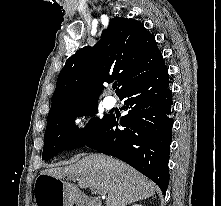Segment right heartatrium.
<instances>
[{"label": "right heart atrium", "instance_id": "d8ad5b80", "mask_svg": "<svg viewBox=\"0 0 221 206\" xmlns=\"http://www.w3.org/2000/svg\"><path fill=\"white\" fill-rule=\"evenodd\" d=\"M88 116L84 111H77L73 118V124L77 131L82 132L86 129Z\"/></svg>", "mask_w": 221, "mask_h": 206}]
</instances>
